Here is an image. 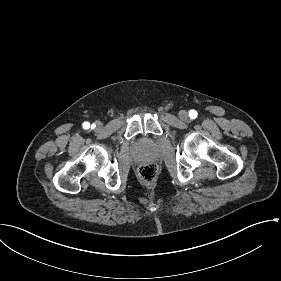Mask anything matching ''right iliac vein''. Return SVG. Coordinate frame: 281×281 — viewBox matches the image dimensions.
Segmentation results:
<instances>
[{
  "label": "right iliac vein",
  "mask_w": 281,
  "mask_h": 281,
  "mask_svg": "<svg viewBox=\"0 0 281 281\" xmlns=\"http://www.w3.org/2000/svg\"><path fill=\"white\" fill-rule=\"evenodd\" d=\"M101 127H102V124H101L100 122H97V123H96V129H97V130H100Z\"/></svg>",
  "instance_id": "right-iliac-vein-1"
}]
</instances>
